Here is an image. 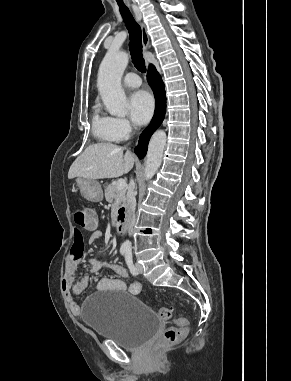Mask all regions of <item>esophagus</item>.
I'll return each instance as SVG.
<instances>
[{"instance_id": "esophagus-1", "label": "esophagus", "mask_w": 291, "mask_h": 381, "mask_svg": "<svg viewBox=\"0 0 291 381\" xmlns=\"http://www.w3.org/2000/svg\"><path fill=\"white\" fill-rule=\"evenodd\" d=\"M141 32H142V46H143V52L146 53L149 49V37L146 31V26L141 23Z\"/></svg>"}]
</instances>
